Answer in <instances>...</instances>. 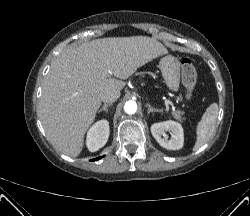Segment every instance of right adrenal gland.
<instances>
[{
  "label": "right adrenal gland",
  "mask_w": 250,
  "mask_h": 216,
  "mask_svg": "<svg viewBox=\"0 0 250 216\" xmlns=\"http://www.w3.org/2000/svg\"><path fill=\"white\" fill-rule=\"evenodd\" d=\"M111 105H112V103L104 104L103 107L98 110V113H100L102 111L108 112V107H110Z\"/></svg>",
  "instance_id": "1"
}]
</instances>
